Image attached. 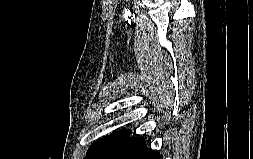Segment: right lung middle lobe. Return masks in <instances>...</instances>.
<instances>
[{"label":"right lung middle lobe","mask_w":253,"mask_h":159,"mask_svg":"<svg viewBox=\"0 0 253 159\" xmlns=\"http://www.w3.org/2000/svg\"><path fill=\"white\" fill-rule=\"evenodd\" d=\"M127 135V131L120 133L118 132L95 141L89 148L86 155V159H97L100 155H102L104 152H106L109 148L114 146Z\"/></svg>","instance_id":"1"}]
</instances>
